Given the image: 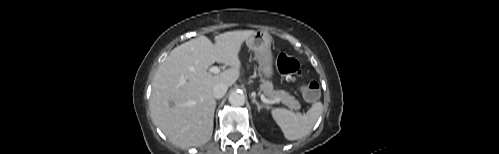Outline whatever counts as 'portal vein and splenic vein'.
Listing matches in <instances>:
<instances>
[{
  "mask_svg": "<svg viewBox=\"0 0 499 154\" xmlns=\"http://www.w3.org/2000/svg\"><path fill=\"white\" fill-rule=\"evenodd\" d=\"M209 71L211 73H214V74H218L220 72V69L216 66H213L209 69ZM261 100L264 102V103H267V104H272V103H276L278 100H270V99H267L265 96H261Z\"/></svg>",
  "mask_w": 499,
  "mask_h": 154,
  "instance_id": "18ae733b",
  "label": "portal vein and splenic vein"
}]
</instances>
